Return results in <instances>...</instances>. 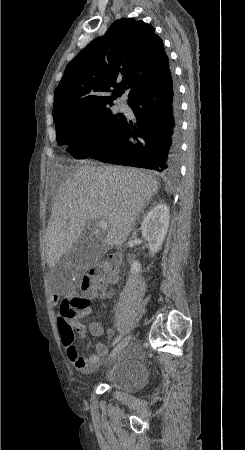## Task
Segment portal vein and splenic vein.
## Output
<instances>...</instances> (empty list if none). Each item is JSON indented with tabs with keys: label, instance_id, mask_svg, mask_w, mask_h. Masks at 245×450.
<instances>
[{
	"label": "portal vein and splenic vein",
	"instance_id": "1",
	"mask_svg": "<svg viewBox=\"0 0 245 450\" xmlns=\"http://www.w3.org/2000/svg\"><path fill=\"white\" fill-rule=\"evenodd\" d=\"M97 228L99 230H102V231L107 230L108 229V223L106 221H104V220H100L97 223Z\"/></svg>",
	"mask_w": 245,
	"mask_h": 450
}]
</instances>
